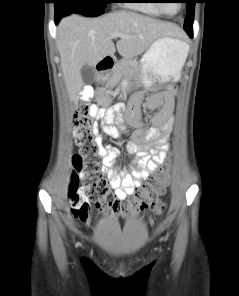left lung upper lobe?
I'll use <instances>...</instances> for the list:
<instances>
[{
    "label": "left lung upper lobe",
    "mask_w": 239,
    "mask_h": 296,
    "mask_svg": "<svg viewBox=\"0 0 239 296\" xmlns=\"http://www.w3.org/2000/svg\"><path fill=\"white\" fill-rule=\"evenodd\" d=\"M185 3L187 4V7H186L187 13H186L184 27H193L196 0H186Z\"/></svg>",
    "instance_id": "obj_1"
}]
</instances>
